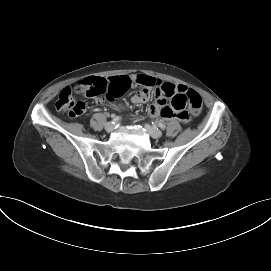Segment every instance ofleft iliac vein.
I'll return each instance as SVG.
<instances>
[{
    "label": "left iliac vein",
    "instance_id": "4c4485c4",
    "mask_svg": "<svg viewBox=\"0 0 271 271\" xmlns=\"http://www.w3.org/2000/svg\"><path fill=\"white\" fill-rule=\"evenodd\" d=\"M144 127H145L147 133H148L152 138L157 139V138H160V137L162 136V132H161L160 130H158L157 128L152 127V126H150V125H148V124H145Z\"/></svg>",
    "mask_w": 271,
    "mask_h": 271
}]
</instances>
